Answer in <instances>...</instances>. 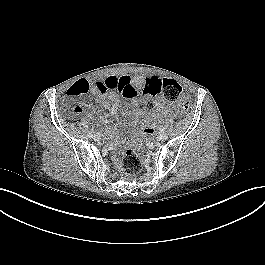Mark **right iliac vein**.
<instances>
[{"instance_id": "right-iliac-vein-1", "label": "right iliac vein", "mask_w": 265, "mask_h": 265, "mask_svg": "<svg viewBox=\"0 0 265 265\" xmlns=\"http://www.w3.org/2000/svg\"><path fill=\"white\" fill-rule=\"evenodd\" d=\"M101 138H100V135L99 134H95L94 135V140L96 141H99Z\"/></svg>"}]
</instances>
